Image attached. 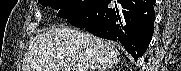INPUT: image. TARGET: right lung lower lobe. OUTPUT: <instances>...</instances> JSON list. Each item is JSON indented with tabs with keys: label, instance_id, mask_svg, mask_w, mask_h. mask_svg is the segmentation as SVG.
Segmentation results:
<instances>
[{
	"label": "right lung lower lobe",
	"instance_id": "1",
	"mask_svg": "<svg viewBox=\"0 0 181 71\" xmlns=\"http://www.w3.org/2000/svg\"><path fill=\"white\" fill-rule=\"evenodd\" d=\"M156 0H97L87 11L67 18L93 35L119 41L135 58H141L153 36Z\"/></svg>",
	"mask_w": 181,
	"mask_h": 71
}]
</instances>
